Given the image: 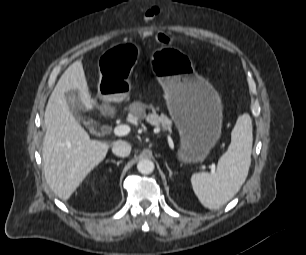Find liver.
<instances>
[{"label":"liver","instance_id":"1","mask_svg":"<svg viewBox=\"0 0 306 255\" xmlns=\"http://www.w3.org/2000/svg\"><path fill=\"white\" fill-rule=\"evenodd\" d=\"M78 91L87 111L97 108L91 97L81 61L71 64L60 77L46 106V134L42 157L45 178L53 192L68 200L86 176L101 163L109 144L91 140L69 110L65 92Z\"/></svg>","mask_w":306,"mask_h":255}]
</instances>
